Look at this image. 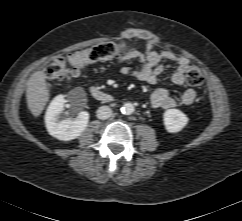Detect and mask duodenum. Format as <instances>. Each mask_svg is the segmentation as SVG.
<instances>
[{
	"mask_svg": "<svg viewBox=\"0 0 242 221\" xmlns=\"http://www.w3.org/2000/svg\"><path fill=\"white\" fill-rule=\"evenodd\" d=\"M90 93L94 98H96L98 100H102V101H105V102H112L113 101V97L109 93L103 91L102 89H100L96 86H92L90 88Z\"/></svg>",
	"mask_w": 242,
	"mask_h": 221,
	"instance_id": "obj_1",
	"label": "duodenum"
}]
</instances>
